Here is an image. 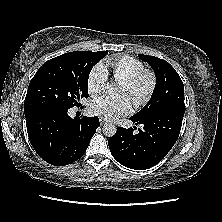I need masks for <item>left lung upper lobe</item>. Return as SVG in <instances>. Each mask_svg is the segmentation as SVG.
Returning <instances> with one entry per match:
<instances>
[{"mask_svg": "<svg viewBox=\"0 0 222 222\" xmlns=\"http://www.w3.org/2000/svg\"><path fill=\"white\" fill-rule=\"evenodd\" d=\"M139 58L154 70L156 85L149 102L132 118L141 119L168 109L185 112L184 85L176 70L167 61L154 56L139 54Z\"/></svg>", "mask_w": 222, "mask_h": 222, "instance_id": "1", "label": "left lung upper lobe"}]
</instances>
